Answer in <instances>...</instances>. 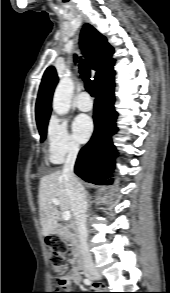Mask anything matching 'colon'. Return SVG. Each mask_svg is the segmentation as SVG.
<instances>
[{
	"mask_svg": "<svg viewBox=\"0 0 170 293\" xmlns=\"http://www.w3.org/2000/svg\"><path fill=\"white\" fill-rule=\"evenodd\" d=\"M47 244L51 248L49 253V261L53 268L56 278V292L53 293H65V289L68 286V280L65 275L67 268V255L69 249L67 244L58 237H48Z\"/></svg>",
	"mask_w": 170,
	"mask_h": 293,
	"instance_id": "5ec220e1",
	"label": "colon"
}]
</instances>
